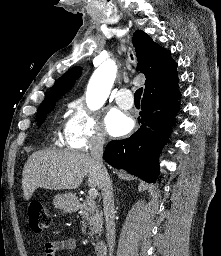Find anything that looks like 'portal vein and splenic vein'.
Instances as JSON below:
<instances>
[{
  "label": "portal vein and splenic vein",
  "mask_w": 221,
  "mask_h": 256,
  "mask_svg": "<svg viewBox=\"0 0 221 256\" xmlns=\"http://www.w3.org/2000/svg\"><path fill=\"white\" fill-rule=\"evenodd\" d=\"M89 198L95 199L98 196V192L95 188H90L88 191Z\"/></svg>",
  "instance_id": "1"
}]
</instances>
